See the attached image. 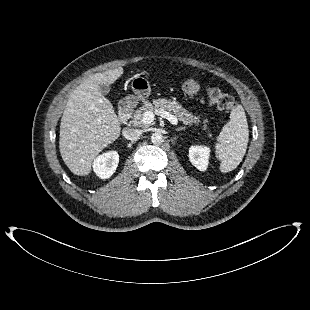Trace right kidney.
Returning a JSON list of instances; mask_svg holds the SVG:
<instances>
[{"instance_id": "obj_1", "label": "right kidney", "mask_w": 310, "mask_h": 310, "mask_svg": "<svg viewBox=\"0 0 310 310\" xmlns=\"http://www.w3.org/2000/svg\"><path fill=\"white\" fill-rule=\"evenodd\" d=\"M119 163V154L109 151L98 156L93 162V170L101 179L110 178L116 171Z\"/></svg>"}]
</instances>
